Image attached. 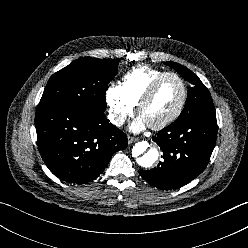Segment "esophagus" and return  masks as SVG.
Here are the masks:
<instances>
[{"label": "esophagus", "instance_id": "34e87169", "mask_svg": "<svg viewBox=\"0 0 248 248\" xmlns=\"http://www.w3.org/2000/svg\"><path fill=\"white\" fill-rule=\"evenodd\" d=\"M136 141H138L137 138H135V137H133V136H128V143H129V144H132V143H134V142H136Z\"/></svg>", "mask_w": 248, "mask_h": 248}]
</instances>
